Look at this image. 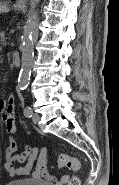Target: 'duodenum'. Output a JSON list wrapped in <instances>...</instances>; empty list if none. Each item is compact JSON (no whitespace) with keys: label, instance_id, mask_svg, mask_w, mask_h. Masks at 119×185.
<instances>
[{"label":"duodenum","instance_id":"obj_1","mask_svg":"<svg viewBox=\"0 0 119 185\" xmlns=\"http://www.w3.org/2000/svg\"><path fill=\"white\" fill-rule=\"evenodd\" d=\"M12 60H13V64L16 67H20L21 66V56L18 52H14L12 55Z\"/></svg>","mask_w":119,"mask_h":185}]
</instances>
